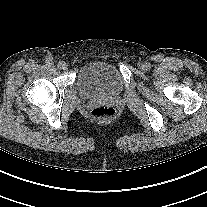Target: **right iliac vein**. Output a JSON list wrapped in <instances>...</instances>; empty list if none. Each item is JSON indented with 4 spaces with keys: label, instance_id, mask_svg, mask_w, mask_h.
I'll use <instances>...</instances> for the list:
<instances>
[{
    "label": "right iliac vein",
    "instance_id": "obj_1",
    "mask_svg": "<svg viewBox=\"0 0 207 207\" xmlns=\"http://www.w3.org/2000/svg\"><path fill=\"white\" fill-rule=\"evenodd\" d=\"M67 68H68V65L65 62H63L62 65L60 66L61 70H66Z\"/></svg>",
    "mask_w": 207,
    "mask_h": 207
}]
</instances>
